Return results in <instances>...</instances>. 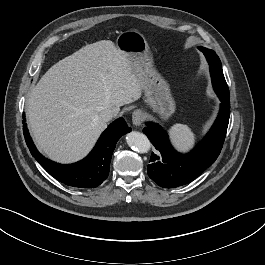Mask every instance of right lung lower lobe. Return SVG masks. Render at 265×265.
Returning a JSON list of instances; mask_svg holds the SVG:
<instances>
[{
    "instance_id": "98d812e1",
    "label": "right lung lower lobe",
    "mask_w": 265,
    "mask_h": 265,
    "mask_svg": "<svg viewBox=\"0 0 265 265\" xmlns=\"http://www.w3.org/2000/svg\"><path fill=\"white\" fill-rule=\"evenodd\" d=\"M24 117V115H23ZM24 137L32 156L58 181L72 187L95 188L108 176L110 161L119 138L131 131L123 118H119L102 133L92 152L83 160L69 165L55 163L36 149L23 120Z\"/></svg>"
}]
</instances>
